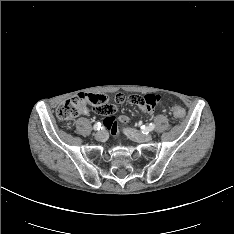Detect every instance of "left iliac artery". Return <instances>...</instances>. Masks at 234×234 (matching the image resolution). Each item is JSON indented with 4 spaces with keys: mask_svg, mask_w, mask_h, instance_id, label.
Wrapping results in <instances>:
<instances>
[{
    "mask_svg": "<svg viewBox=\"0 0 234 234\" xmlns=\"http://www.w3.org/2000/svg\"><path fill=\"white\" fill-rule=\"evenodd\" d=\"M155 124L151 123L148 126H141L142 133L148 134V132L154 130Z\"/></svg>",
    "mask_w": 234,
    "mask_h": 234,
    "instance_id": "obj_1",
    "label": "left iliac artery"
}]
</instances>
